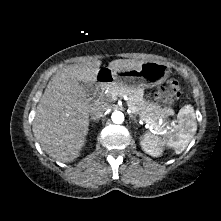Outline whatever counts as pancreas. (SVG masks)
Wrapping results in <instances>:
<instances>
[{"mask_svg":"<svg viewBox=\"0 0 221 221\" xmlns=\"http://www.w3.org/2000/svg\"><path fill=\"white\" fill-rule=\"evenodd\" d=\"M143 89H129L114 83L110 85L106 92V97L112 101L114 97H127L128 108L143 121L153 125L158 131H164L165 125H159L158 119L164 114L162 109L153 103H149L143 97Z\"/></svg>","mask_w":221,"mask_h":221,"instance_id":"obj_1","label":"pancreas"}]
</instances>
